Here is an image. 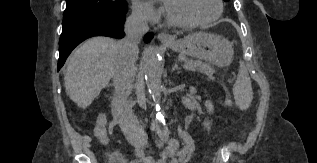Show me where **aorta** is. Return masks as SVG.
<instances>
[{
	"label": "aorta",
	"instance_id": "aorta-1",
	"mask_svg": "<svg viewBox=\"0 0 317 163\" xmlns=\"http://www.w3.org/2000/svg\"><path fill=\"white\" fill-rule=\"evenodd\" d=\"M143 71L147 88L156 104V125L163 127L165 124L164 115L160 110L161 100V76H162V63L160 54L152 45L148 46L143 54Z\"/></svg>",
	"mask_w": 317,
	"mask_h": 163
}]
</instances>
